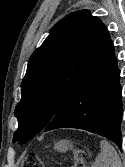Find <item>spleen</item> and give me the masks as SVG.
<instances>
[{
	"instance_id": "1",
	"label": "spleen",
	"mask_w": 125,
	"mask_h": 167,
	"mask_svg": "<svg viewBox=\"0 0 125 167\" xmlns=\"http://www.w3.org/2000/svg\"><path fill=\"white\" fill-rule=\"evenodd\" d=\"M100 148L92 167H123L117 151L107 140H101Z\"/></svg>"
}]
</instances>
